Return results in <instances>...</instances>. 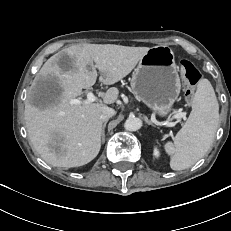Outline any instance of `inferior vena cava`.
Masks as SVG:
<instances>
[{
	"instance_id": "obj_1",
	"label": "inferior vena cava",
	"mask_w": 231,
	"mask_h": 231,
	"mask_svg": "<svg viewBox=\"0 0 231 231\" xmlns=\"http://www.w3.org/2000/svg\"><path fill=\"white\" fill-rule=\"evenodd\" d=\"M116 114L115 110L110 107H104L101 113V119L103 121L110 119L112 116Z\"/></svg>"
}]
</instances>
